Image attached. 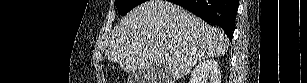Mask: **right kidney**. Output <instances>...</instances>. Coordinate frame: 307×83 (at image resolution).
I'll return each instance as SVG.
<instances>
[{"label":"right kidney","mask_w":307,"mask_h":83,"mask_svg":"<svg viewBox=\"0 0 307 83\" xmlns=\"http://www.w3.org/2000/svg\"><path fill=\"white\" fill-rule=\"evenodd\" d=\"M221 83V72L219 65L214 59L200 62L193 70L190 83Z\"/></svg>","instance_id":"1"}]
</instances>
